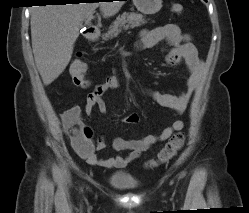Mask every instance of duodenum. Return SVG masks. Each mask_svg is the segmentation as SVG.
<instances>
[{"mask_svg": "<svg viewBox=\"0 0 249 213\" xmlns=\"http://www.w3.org/2000/svg\"><path fill=\"white\" fill-rule=\"evenodd\" d=\"M99 35L98 28L95 26H91L86 30L85 37L88 42H95Z\"/></svg>", "mask_w": 249, "mask_h": 213, "instance_id": "1", "label": "duodenum"}]
</instances>
